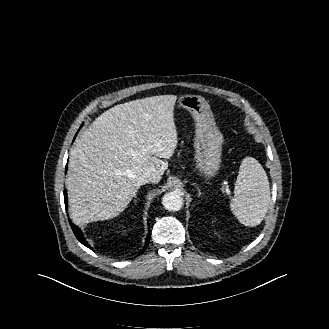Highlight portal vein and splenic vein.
Returning <instances> with one entry per match:
<instances>
[{"label": "portal vein and splenic vein", "instance_id": "obj_1", "mask_svg": "<svg viewBox=\"0 0 329 329\" xmlns=\"http://www.w3.org/2000/svg\"><path fill=\"white\" fill-rule=\"evenodd\" d=\"M225 192L229 195L230 194L229 188H225Z\"/></svg>", "mask_w": 329, "mask_h": 329}]
</instances>
